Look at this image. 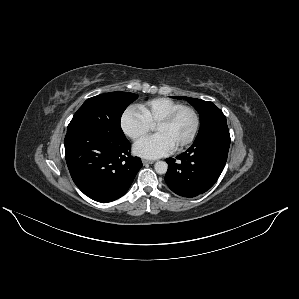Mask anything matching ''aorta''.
<instances>
[{"mask_svg": "<svg viewBox=\"0 0 299 299\" xmlns=\"http://www.w3.org/2000/svg\"><path fill=\"white\" fill-rule=\"evenodd\" d=\"M154 169L158 174H165L168 169V165L164 161H157L154 165Z\"/></svg>", "mask_w": 299, "mask_h": 299, "instance_id": "obj_1", "label": "aorta"}]
</instances>
